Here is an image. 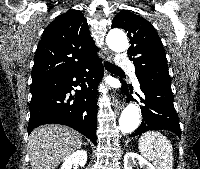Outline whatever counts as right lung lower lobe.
<instances>
[{
    "label": "right lung lower lobe",
    "mask_w": 200,
    "mask_h": 169,
    "mask_svg": "<svg viewBox=\"0 0 200 169\" xmlns=\"http://www.w3.org/2000/svg\"><path fill=\"white\" fill-rule=\"evenodd\" d=\"M102 74L100 59L95 56L70 73L32 83L28 134L39 125L62 124L72 127L96 144V86ZM78 85L81 90L76 91L73 97L69 93L72 87Z\"/></svg>",
    "instance_id": "98d812e1"
}]
</instances>
